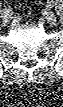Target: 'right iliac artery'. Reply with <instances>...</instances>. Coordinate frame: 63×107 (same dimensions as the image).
I'll return each mask as SVG.
<instances>
[{
    "instance_id": "obj_1",
    "label": "right iliac artery",
    "mask_w": 63,
    "mask_h": 107,
    "mask_svg": "<svg viewBox=\"0 0 63 107\" xmlns=\"http://www.w3.org/2000/svg\"><path fill=\"white\" fill-rule=\"evenodd\" d=\"M4 15L7 16V17L12 18L13 12L10 8H5Z\"/></svg>"
}]
</instances>
